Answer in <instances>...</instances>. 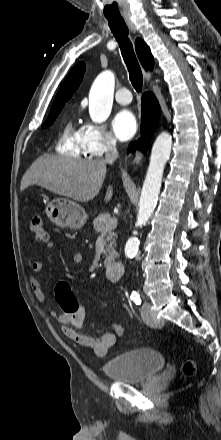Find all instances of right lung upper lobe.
<instances>
[{
  "label": "right lung upper lobe",
  "instance_id": "1",
  "mask_svg": "<svg viewBox=\"0 0 221 440\" xmlns=\"http://www.w3.org/2000/svg\"><path fill=\"white\" fill-rule=\"evenodd\" d=\"M136 52H137V55H138L142 65L145 68L152 70L153 65H154L153 56L150 52L149 47L140 38L136 39ZM84 72H85V64L83 62L76 64L71 69V71L69 72L68 76L66 77L63 85L61 86L60 90L58 91L51 109L65 105V102L72 97L73 93L79 87V85L82 81Z\"/></svg>",
  "mask_w": 221,
  "mask_h": 440
}]
</instances>
